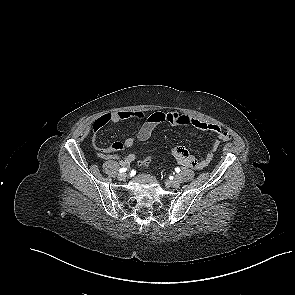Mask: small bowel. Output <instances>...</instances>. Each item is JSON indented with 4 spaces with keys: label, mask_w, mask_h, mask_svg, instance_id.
Segmentation results:
<instances>
[{
    "label": "small bowel",
    "mask_w": 295,
    "mask_h": 295,
    "mask_svg": "<svg viewBox=\"0 0 295 295\" xmlns=\"http://www.w3.org/2000/svg\"><path fill=\"white\" fill-rule=\"evenodd\" d=\"M140 120L142 125L135 137H128L123 142H114L109 147H101L98 142L99 131L107 124H116L125 120ZM162 123H168L175 126H192L197 129L211 132L215 135L211 148L202 159H197L190 155L188 150L182 146H178L173 150V155L178 163L192 169L200 170L205 168L213 160L214 152L217 150L221 142L231 140V134L224 131L217 124L205 122L188 115L178 112H154L146 114L142 111H118L113 113H106L98 117L93 125V141L98 149V156L101 159L110 160L121 158V165L128 166L136 158L135 154L129 153L121 156V153L134 145L135 141L148 140L154 129Z\"/></svg>",
    "instance_id": "obj_1"
}]
</instances>
